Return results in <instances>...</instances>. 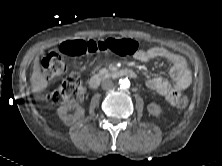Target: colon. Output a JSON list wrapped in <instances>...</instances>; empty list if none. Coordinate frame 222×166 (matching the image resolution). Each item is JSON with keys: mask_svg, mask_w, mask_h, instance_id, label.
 Here are the masks:
<instances>
[{"mask_svg": "<svg viewBox=\"0 0 222 166\" xmlns=\"http://www.w3.org/2000/svg\"><path fill=\"white\" fill-rule=\"evenodd\" d=\"M139 48V43L129 38H106L100 40H72L61 45L60 53H49L42 60V68L48 79H54L67 72L65 62L66 56L77 57L86 54L95 53H113L119 56H125L135 53ZM83 94V85L77 73H70L61 83V85L48 94L49 104L57 106L65 102H72L81 98ZM188 104L186 96L178 98L177 107L184 109Z\"/></svg>", "mask_w": 222, "mask_h": 166, "instance_id": "colon-1", "label": "colon"}]
</instances>
